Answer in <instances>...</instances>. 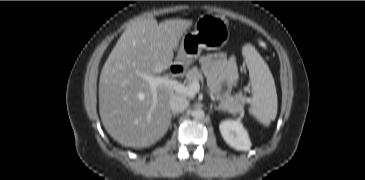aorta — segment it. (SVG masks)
Listing matches in <instances>:
<instances>
[{"instance_id":"obj_1","label":"aorta","mask_w":365,"mask_h":180,"mask_svg":"<svg viewBox=\"0 0 365 180\" xmlns=\"http://www.w3.org/2000/svg\"><path fill=\"white\" fill-rule=\"evenodd\" d=\"M191 114L193 118L198 120L203 119L205 116L204 111L200 108L194 109Z\"/></svg>"}]
</instances>
